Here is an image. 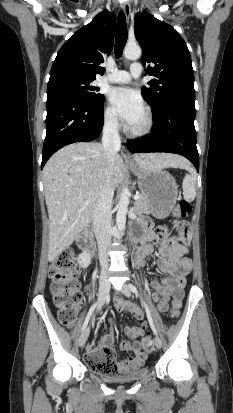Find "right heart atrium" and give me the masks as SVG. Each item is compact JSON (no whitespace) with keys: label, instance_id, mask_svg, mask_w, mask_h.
Here are the masks:
<instances>
[{"label":"right heart atrium","instance_id":"right-heart-atrium-1","mask_svg":"<svg viewBox=\"0 0 233 413\" xmlns=\"http://www.w3.org/2000/svg\"><path fill=\"white\" fill-rule=\"evenodd\" d=\"M104 124L111 130H118L120 128V122L116 112L109 106L104 109L103 113Z\"/></svg>","mask_w":233,"mask_h":413}]
</instances>
